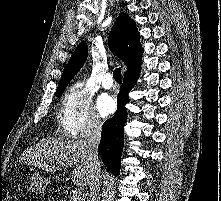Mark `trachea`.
<instances>
[{
	"label": "trachea",
	"instance_id": "1",
	"mask_svg": "<svg viewBox=\"0 0 221 201\" xmlns=\"http://www.w3.org/2000/svg\"><path fill=\"white\" fill-rule=\"evenodd\" d=\"M113 77L116 82H121L122 76H121V68H116L113 72Z\"/></svg>",
	"mask_w": 221,
	"mask_h": 201
}]
</instances>
